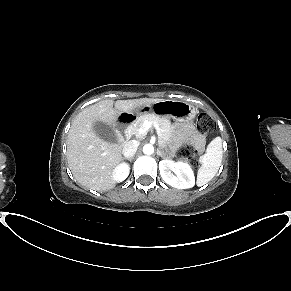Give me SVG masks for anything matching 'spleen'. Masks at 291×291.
<instances>
[{
  "instance_id": "spleen-1",
  "label": "spleen",
  "mask_w": 291,
  "mask_h": 291,
  "mask_svg": "<svg viewBox=\"0 0 291 291\" xmlns=\"http://www.w3.org/2000/svg\"><path fill=\"white\" fill-rule=\"evenodd\" d=\"M222 139L214 138L207 146L206 153L200 158L202 166L198 170L197 185L208 183L218 172L222 162Z\"/></svg>"
}]
</instances>
